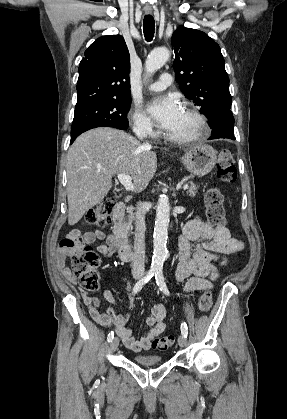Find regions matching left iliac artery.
Wrapping results in <instances>:
<instances>
[{"instance_id": "left-iliac-artery-1", "label": "left iliac artery", "mask_w": 287, "mask_h": 419, "mask_svg": "<svg viewBox=\"0 0 287 419\" xmlns=\"http://www.w3.org/2000/svg\"><path fill=\"white\" fill-rule=\"evenodd\" d=\"M155 280L157 285L159 286L160 290L166 294V295H170V292L166 286L165 280H164V276H163V271L162 270H157L155 273ZM181 333L182 335L187 338L188 335V330H187V325L186 323H182L181 324Z\"/></svg>"}]
</instances>
